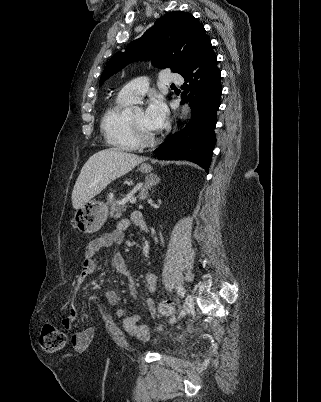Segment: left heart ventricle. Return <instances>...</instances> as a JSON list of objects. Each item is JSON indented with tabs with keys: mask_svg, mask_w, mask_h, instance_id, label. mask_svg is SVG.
<instances>
[{
	"mask_svg": "<svg viewBox=\"0 0 321 402\" xmlns=\"http://www.w3.org/2000/svg\"><path fill=\"white\" fill-rule=\"evenodd\" d=\"M129 118L131 119L132 123L134 124L135 128L138 129L144 135L150 136L153 135L154 132L149 130L146 127L145 120H144V113L142 111L132 113Z\"/></svg>",
	"mask_w": 321,
	"mask_h": 402,
	"instance_id": "1",
	"label": "left heart ventricle"
}]
</instances>
